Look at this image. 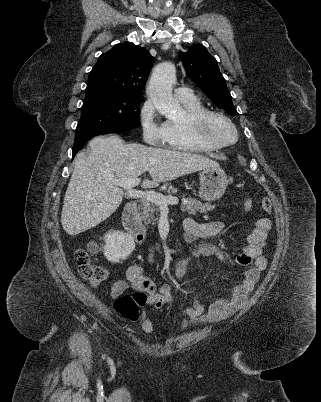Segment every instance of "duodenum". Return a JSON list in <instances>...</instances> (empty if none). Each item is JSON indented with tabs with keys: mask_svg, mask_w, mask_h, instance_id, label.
<instances>
[{
	"mask_svg": "<svg viewBox=\"0 0 321 402\" xmlns=\"http://www.w3.org/2000/svg\"><path fill=\"white\" fill-rule=\"evenodd\" d=\"M122 222L124 228L134 237V239L144 244L147 240V230L145 226L137 218V204L129 202L122 214Z\"/></svg>",
	"mask_w": 321,
	"mask_h": 402,
	"instance_id": "duodenum-1",
	"label": "duodenum"
}]
</instances>
